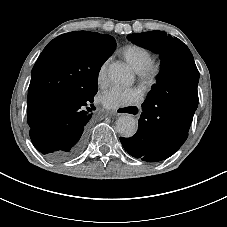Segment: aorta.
I'll return each mask as SVG.
<instances>
[{
  "mask_svg": "<svg viewBox=\"0 0 227 227\" xmlns=\"http://www.w3.org/2000/svg\"><path fill=\"white\" fill-rule=\"evenodd\" d=\"M108 76L111 81L118 84H130L133 81V76L130 69L118 62H114L108 67ZM117 131L123 137H132L138 128L137 120L131 114H125L118 118Z\"/></svg>",
  "mask_w": 227,
  "mask_h": 227,
  "instance_id": "762f6f07",
  "label": "aorta"
}]
</instances>
